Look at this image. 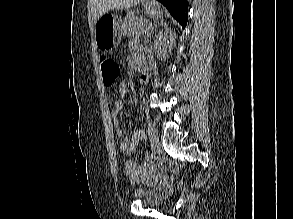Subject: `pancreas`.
<instances>
[{"label": "pancreas", "instance_id": "cf45deb5", "mask_svg": "<svg viewBox=\"0 0 293 219\" xmlns=\"http://www.w3.org/2000/svg\"><path fill=\"white\" fill-rule=\"evenodd\" d=\"M150 25L140 18H135L134 15H128L122 24V33L126 36H134L145 33Z\"/></svg>", "mask_w": 293, "mask_h": 219}]
</instances>
